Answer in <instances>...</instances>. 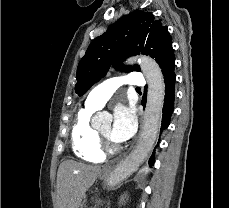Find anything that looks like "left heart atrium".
<instances>
[{
	"instance_id": "left-heart-atrium-1",
	"label": "left heart atrium",
	"mask_w": 229,
	"mask_h": 208,
	"mask_svg": "<svg viewBox=\"0 0 229 208\" xmlns=\"http://www.w3.org/2000/svg\"><path fill=\"white\" fill-rule=\"evenodd\" d=\"M137 128V119L131 106L120 105L114 113V122L111 130V138L121 143L130 139Z\"/></svg>"
}]
</instances>
